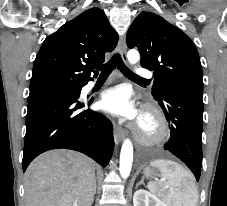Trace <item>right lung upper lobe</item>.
Segmentation results:
<instances>
[{"instance_id": "cb5924a9", "label": "right lung upper lobe", "mask_w": 227, "mask_h": 206, "mask_svg": "<svg viewBox=\"0 0 227 206\" xmlns=\"http://www.w3.org/2000/svg\"><path fill=\"white\" fill-rule=\"evenodd\" d=\"M117 42L118 35L103 10H86L44 40L34 61L31 83L62 80L87 84L92 80L93 64L104 63V54L113 51Z\"/></svg>"}]
</instances>
